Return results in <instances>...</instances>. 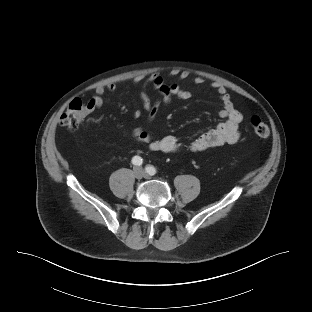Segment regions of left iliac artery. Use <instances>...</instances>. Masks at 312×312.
<instances>
[{
  "label": "left iliac artery",
  "mask_w": 312,
  "mask_h": 312,
  "mask_svg": "<svg viewBox=\"0 0 312 312\" xmlns=\"http://www.w3.org/2000/svg\"><path fill=\"white\" fill-rule=\"evenodd\" d=\"M146 172L149 174V175H154L156 173V169L153 167V166H147L146 167Z\"/></svg>",
  "instance_id": "1"
}]
</instances>
